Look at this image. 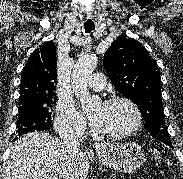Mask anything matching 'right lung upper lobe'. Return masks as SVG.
I'll list each match as a JSON object with an SVG mask.
<instances>
[{
	"label": "right lung upper lobe",
	"mask_w": 183,
	"mask_h": 179,
	"mask_svg": "<svg viewBox=\"0 0 183 179\" xmlns=\"http://www.w3.org/2000/svg\"><path fill=\"white\" fill-rule=\"evenodd\" d=\"M56 48L43 43L31 55L22 72L19 100L53 96L57 85Z\"/></svg>",
	"instance_id": "obj_1"
}]
</instances>
